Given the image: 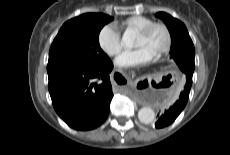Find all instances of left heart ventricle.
<instances>
[{
	"mask_svg": "<svg viewBox=\"0 0 230 155\" xmlns=\"http://www.w3.org/2000/svg\"><path fill=\"white\" fill-rule=\"evenodd\" d=\"M166 43V35L165 32L160 29L156 28L152 31V33L147 37H142L137 35L135 41V47H147L154 56H156L164 47Z\"/></svg>",
	"mask_w": 230,
	"mask_h": 155,
	"instance_id": "b2bd125f",
	"label": "left heart ventricle"
}]
</instances>
